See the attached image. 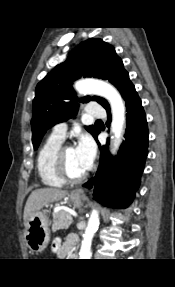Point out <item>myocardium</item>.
Here are the masks:
<instances>
[{"label": "myocardium", "instance_id": "myocardium-1", "mask_svg": "<svg viewBox=\"0 0 175 287\" xmlns=\"http://www.w3.org/2000/svg\"><path fill=\"white\" fill-rule=\"evenodd\" d=\"M73 148L72 145L70 144H62L56 151L55 153V158H54V167L57 175L67 183H79L83 181L88 173L89 170L87 169L85 172L78 176H72L69 174L66 168V163H65V152L67 149Z\"/></svg>", "mask_w": 175, "mask_h": 287}]
</instances>
